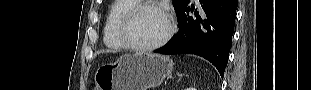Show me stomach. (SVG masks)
<instances>
[{
	"mask_svg": "<svg viewBox=\"0 0 311 90\" xmlns=\"http://www.w3.org/2000/svg\"><path fill=\"white\" fill-rule=\"evenodd\" d=\"M173 65L169 57L160 54H128L97 69L94 90H148L159 86Z\"/></svg>",
	"mask_w": 311,
	"mask_h": 90,
	"instance_id": "obj_1",
	"label": "stomach"
}]
</instances>
